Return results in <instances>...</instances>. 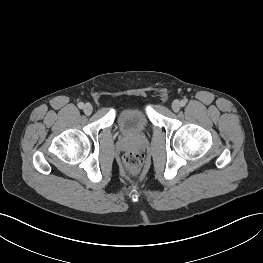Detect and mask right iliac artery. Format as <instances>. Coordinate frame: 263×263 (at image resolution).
<instances>
[{
	"label": "right iliac artery",
	"instance_id": "82829eb1",
	"mask_svg": "<svg viewBox=\"0 0 263 263\" xmlns=\"http://www.w3.org/2000/svg\"><path fill=\"white\" fill-rule=\"evenodd\" d=\"M78 107H79L80 109H82V108L84 107V103L80 102V103L78 104Z\"/></svg>",
	"mask_w": 263,
	"mask_h": 263
}]
</instances>
